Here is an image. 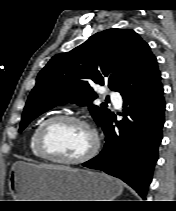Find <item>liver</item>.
<instances>
[{
  "mask_svg": "<svg viewBox=\"0 0 176 211\" xmlns=\"http://www.w3.org/2000/svg\"><path fill=\"white\" fill-rule=\"evenodd\" d=\"M40 167H47V168H55L60 166H53V165H39Z\"/></svg>",
  "mask_w": 176,
  "mask_h": 211,
  "instance_id": "obj_1",
  "label": "liver"
}]
</instances>
